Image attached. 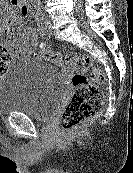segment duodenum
I'll return each mask as SVG.
<instances>
[{
    "mask_svg": "<svg viewBox=\"0 0 133 173\" xmlns=\"http://www.w3.org/2000/svg\"><path fill=\"white\" fill-rule=\"evenodd\" d=\"M15 4H18L24 15H29L31 13V7L28 0H13Z\"/></svg>",
    "mask_w": 133,
    "mask_h": 173,
    "instance_id": "obj_1",
    "label": "duodenum"
}]
</instances>
